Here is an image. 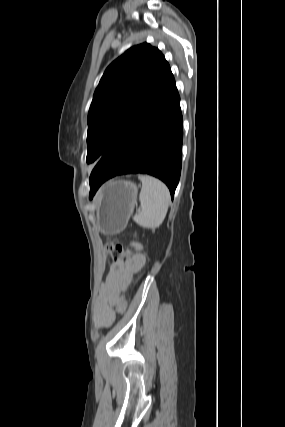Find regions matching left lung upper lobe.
I'll list each match as a JSON object with an SVG mask.
<instances>
[{"mask_svg":"<svg viewBox=\"0 0 285 427\" xmlns=\"http://www.w3.org/2000/svg\"><path fill=\"white\" fill-rule=\"evenodd\" d=\"M169 70L163 54L148 43L131 47L107 67L88 113V163L117 143Z\"/></svg>","mask_w":285,"mask_h":427,"instance_id":"obj_1","label":"left lung upper lobe"}]
</instances>
